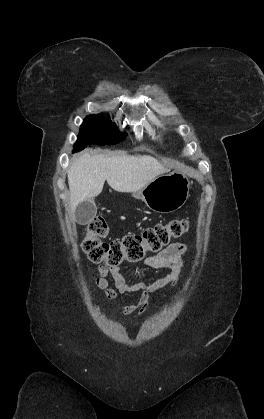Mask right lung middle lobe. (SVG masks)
<instances>
[{
	"mask_svg": "<svg viewBox=\"0 0 264 419\" xmlns=\"http://www.w3.org/2000/svg\"><path fill=\"white\" fill-rule=\"evenodd\" d=\"M125 137L126 133L118 132L108 118L91 115L86 117L80 127V134L73 152L84 149L87 144L112 145L122 141Z\"/></svg>",
	"mask_w": 264,
	"mask_h": 419,
	"instance_id": "obj_1",
	"label": "right lung middle lobe"
}]
</instances>
